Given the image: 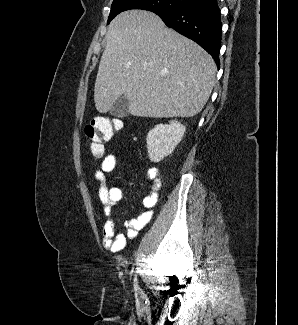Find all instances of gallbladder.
Listing matches in <instances>:
<instances>
[{
  "mask_svg": "<svg viewBox=\"0 0 298 325\" xmlns=\"http://www.w3.org/2000/svg\"><path fill=\"white\" fill-rule=\"evenodd\" d=\"M128 100L125 96H119L117 100H115L113 106L110 108V114L112 116H117V118H123V116H128L129 108H128Z\"/></svg>",
  "mask_w": 298,
  "mask_h": 325,
  "instance_id": "gallbladder-1",
  "label": "gallbladder"
}]
</instances>
